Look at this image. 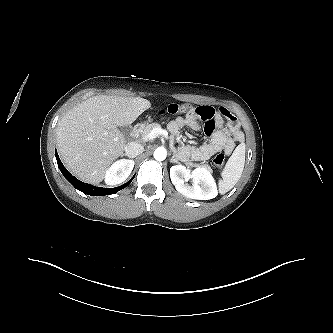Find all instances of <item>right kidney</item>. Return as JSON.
Segmentation results:
<instances>
[{
    "label": "right kidney",
    "mask_w": 333,
    "mask_h": 333,
    "mask_svg": "<svg viewBox=\"0 0 333 333\" xmlns=\"http://www.w3.org/2000/svg\"><path fill=\"white\" fill-rule=\"evenodd\" d=\"M133 160H118L113 163L105 174V182L108 185H116L125 181L134 167Z\"/></svg>",
    "instance_id": "right-kidney-1"
}]
</instances>
